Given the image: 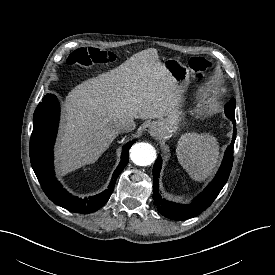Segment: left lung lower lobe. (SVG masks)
Segmentation results:
<instances>
[{"label": "left lung lower lobe", "mask_w": 275, "mask_h": 275, "mask_svg": "<svg viewBox=\"0 0 275 275\" xmlns=\"http://www.w3.org/2000/svg\"><path fill=\"white\" fill-rule=\"evenodd\" d=\"M233 121V137L232 142L226 149L224 159L222 164L213 180L202 193H200L190 205L177 204L164 199L159 193V173L162 165V158L159 155L154 167H153V199L158 211L165 217L172 220H186L193 218L200 213H202L206 208H208L215 198L218 196L219 192L222 190L223 186L226 184L233 163V148L236 139V124Z\"/></svg>", "instance_id": "left-lung-lower-lobe-1"}]
</instances>
